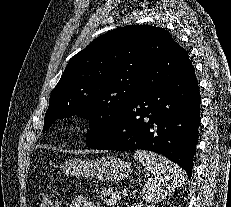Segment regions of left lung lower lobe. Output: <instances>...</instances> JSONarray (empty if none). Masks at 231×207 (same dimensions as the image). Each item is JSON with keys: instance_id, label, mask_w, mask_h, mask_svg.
<instances>
[{"instance_id": "obj_1", "label": "left lung lower lobe", "mask_w": 231, "mask_h": 207, "mask_svg": "<svg viewBox=\"0 0 231 207\" xmlns=\"http://www.w3.org/2000/svg\"><path fill=\"white\" fill-rule=\"evenodd\" d=\"M141 91L99 150H150L191 178L200 124V93L188 53L178 43L143 75Z\"/></svg>"}]
</instances>
